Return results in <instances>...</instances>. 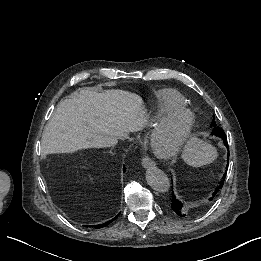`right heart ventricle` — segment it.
Instances as JSON below:
<instances>
[{"mask_svg": "<svg viewBox=\"0 0 261 261\" xmlns=\"http://www.w3.org/2000/svg\"><path fill=\"white\" fill-rule=\"evenodd\" d=\"M144 105V116L146 118L161 113L173 107H185V96L177 89L170 87L154 88L136 92Z\"/></svg>", "mask_w": 261, "mask_h": 261, "instance_id": "e07e8e85", "label": "right heart ventricle"}]
</instances>
